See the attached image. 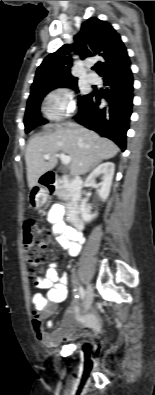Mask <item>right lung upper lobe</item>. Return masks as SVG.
<instances>
[{"label": "right lung upper lobe", "mask_w": 155, "mask_h": 395, "mask_svg": "<svg viewBox=\"0 0 155 395\" xmlns=\"http://www.w3.org/2000/svg\"><path fill=\"white\" fill-rule=\"evenodd\" d=\"M72 51L81 59L100 57L101 61L97 64L99 75L130 64L127 50L116 30L110 23L92 17L82 24L81 32L75 36L73 44L63 45L43 60L36 71L30 97L47 86L77 79L71 75Z\"/></svg>", "instance_id": "cb5924a9"}]
</instances>
